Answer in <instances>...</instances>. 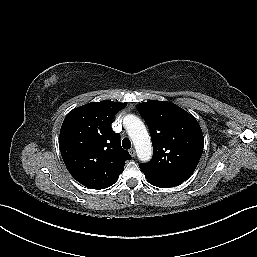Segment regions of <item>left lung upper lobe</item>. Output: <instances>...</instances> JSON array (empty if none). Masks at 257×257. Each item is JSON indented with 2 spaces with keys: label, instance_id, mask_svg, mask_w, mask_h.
<instances>
[{
  "label": "left lung upper lobe",
  "instance_id": "1",
  "mask_svg": "<svg viewBox=\"0 0 257 257\" xmlns=\"http://www.w3.org/2000/svg\"><path fill=\"white\" fill-rule=\"evenodd\" d=\"M145 119L153 145V158L139 167L147 178L187 180L203 152V133L196 119L167 101H148L136 106Z\"/></svg>",
  "mask_w": 257,
  "mask_h": 257
}]
</instances>
